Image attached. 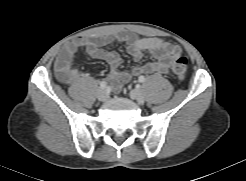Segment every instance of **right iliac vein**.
Wrapping results in <instances>:
<instances>
[{
	"label": "right iliac vein",
	"instance_id": "obj_1",
	"mask_svg": "<svg viewBox=\"0 0 246 181\" xmlns=\"http://www.w3.org/2000/svg\"><path fill=\"white\" fill-rule=\"evenodd\" d=\"M106 98H107V92H106V90L105 89H99L97 91V99L99 101H104V100H106Z\"/></svg>",
	"mask_w": 246,
	"mask_h": 181
}]
</instances>
